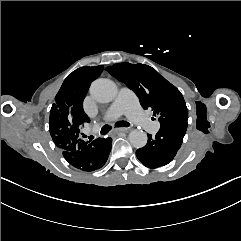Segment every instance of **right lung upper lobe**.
Masks as SVG:
<instances>
[{
	"label": "right lung upper lobe",
	"instance_id": "right-lung-upper-lobe-1",
	"mask_svg": "<svg viewBox=\"0 0 241 241\" xmlns=\"http://www.w3.org/2000/svg\"><path fill=\"white\" fill-rule=\"evenodd\" d=\"M94 69L100 75L103 66ZM91 82L79 79L72 72L55 97V103L50 110L49 130L53 141L61 151L69 150L71 145L85 141L80 129L85 123L90 122L83 110V100Z\"/></svg>",
	"mask_w": 241,
	"mask_h": 241
}]
</instances>
